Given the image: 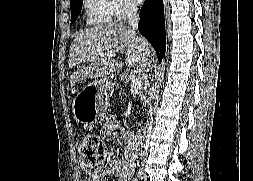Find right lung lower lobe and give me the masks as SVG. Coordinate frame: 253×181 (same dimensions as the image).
<instances>
[{
	"label": "right lung lower lobe",
	"mask_w": 253,
	"mask_h": 181,
	"mask_svg": "<svg viewBox=\"0 0 253 181\" xmlns=\"http://www.w3.org/2000/svg\"><path fill=\"white\" fill-rule=\"evenodd\" d=\"M138 29L152 44L161 62L166 50L163 0H145L140 10Z\"/></svg>",
	"instance_id": "obj_1"
}]
</instances>
